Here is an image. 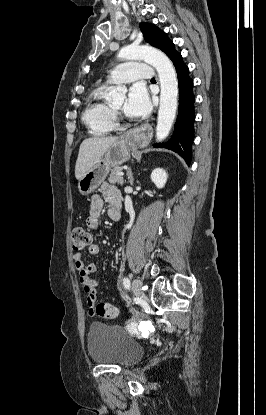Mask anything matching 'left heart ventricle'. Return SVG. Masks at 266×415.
<instances>
[{
  "mask_svg": "<svg viewBox=\"0 0 266 415\" xmlns=\"http://www.w3.org/2000/svg\"><path fill=\"white\" fill-rule=\"evenodd\" d=\"M125 102H126L125 97H122L118 102H116L114 104V107L117 108V109H123L124 105H125Z\"/></svg>",
  "mask_w": 266,
  "mask_h": 415,
  "instance_id": "b2bd125f",
  "label": "left heart ventricle"
}]
</instances>
